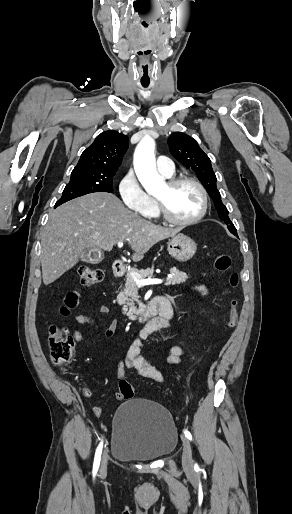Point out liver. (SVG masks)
<instances>
[{"instance_id":"6515ba94","label":"liver","mask_w":292,"mask_h":514,"mask_svg":"<svg viewBox=\"0 0 292 514\" xmlns=\"http://www.w3.org/2000/svg\"><path fill=\"white\" fill-rule=\"evenodd\" d=\"M181 228H162L124 208L107 192L86 194L52 210L41 240L43 284H52L76 266L83 250L111 252L117 242L129 240L133 262L143 260L154 244L174 238Z\"/></svg>"}]
</instances>
